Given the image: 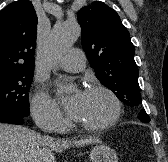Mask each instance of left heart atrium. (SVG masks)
Listing matches in <instances>:
<instances>
[{
    "label": "left heart atrium",
    "mask_w": 168,
    "mask_h": 162,
    "mask_svg": "<svg viewBox=\"0 0 168 162\" xmlns=\"http://www.w3.org/2000/svg\"><path fill=\"white\" fill-rule=\"evenodd\" d=\"M86 91L78 90L73 96L65 100V106L71 117L77 119L85 100Z\"/></svg>",
    "instance_id": "1"
}]
</instances>
